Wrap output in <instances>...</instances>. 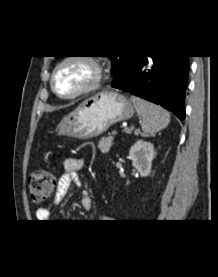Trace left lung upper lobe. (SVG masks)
I'll use <instances>...</instances> for the list:
<instances>
[{
    "instance_id": "1",
    "label": "left lung upper lobe",
    "mask_w": 218,
    "mask_h": 277,
    "mask_svg": "<svg viewBox=\"0 0 218 277\" xmlns=\"http://www.w3.org/2000/svg\"><path fill=\"white\" fill-rule=\"evenodd\" d=\"M112 61V76L123 71L132 56H108Z\"/></svg>"
}]
</instances>
